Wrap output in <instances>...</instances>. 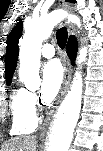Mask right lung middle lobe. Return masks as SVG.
<instances>
[{
    "label": "right lung middle lobe",
    "mask_w": 103,
    "mask_h": 151,
    "mask_svg": "<svg viewBox=\"0 0 103 151\" xmlns=\"http://www.w3.org/2000/svg\"><path fill=\"white\" fill-rule=\"evenodd\" d=\"M11 81H12L11 79H7L6 80L7 85H10Z\"/></svg>",
    "instance_id": "dd1d6c3e"
}]
</instances>
